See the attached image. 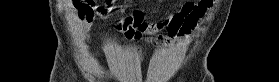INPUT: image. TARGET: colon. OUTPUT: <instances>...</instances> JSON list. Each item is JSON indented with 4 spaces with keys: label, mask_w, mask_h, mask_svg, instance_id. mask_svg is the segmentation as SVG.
<instances>
[{
    "label": "colon",
    "mask_w": 279,
    "mask_h": 82,
    "mask_svg": "<svg viewBox=\"0 0 279 82\" xmlns=\"http://www.w3.org/2000/svg\"><path fill=\"white\" fill-rule=\"evenodd\" d=\"M142 22V15L139 11L131 12V14L124 20V23L130 25L134 30L138 29Z\"/></svg>",
    "instance_id": "obj_1"
}]
</instances>
